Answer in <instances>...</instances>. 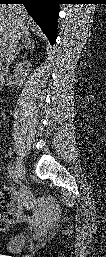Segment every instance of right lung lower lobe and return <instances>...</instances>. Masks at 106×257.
Listing matches in <instances>:
<instances>
[{
	"instance_id": "right-lung-lower-lobe-1",
	"label": "right lung lower lobe",
	"mask_w": 106,
	"mask_h": 257,
	"mask_svg": "<svg viewBox=\"0 0 106 257\" xmlns=\"http://www.w3.org/2000/svg\"><path fill=\"white\" fill-rule=\"evenodd\" d=\"M1 4H23L34 21L42 28L51 44L56 39L57 0H0Z\"/></svg>"
}]
</instances>
